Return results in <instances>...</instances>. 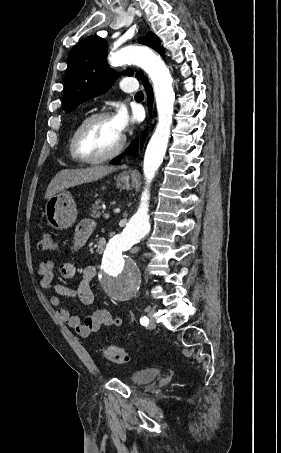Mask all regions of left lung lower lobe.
<instances>
[{
  "label": "left lung lower lobe",
  "mask_w": 281,
  "mask_h": 453,
  "mask_svg": "<svg viewBox=\"0 0 281 453\" xmlns=\"http://www.w3.org/2000/svg\"><path fill=\"white\" fill-rule=\"evenodd\" d=\"M163 53V50L161 51V54ZM142 83L143 85L145 86L146 90H147V95H148V103H149V109L151 110V106H152V88L151 86L149 85L148 83V80L146 77H144L142 79ZM138 142L137 140H135L131 145L130 147L127 148V150L120 156L116 157L115 159H113L110 164H119L120 163V159L122 158L123 155H125L126 153H130L132 156H137L138 154Z\"/></svg>",
  "instance_id": "obj_1"
}]
</instances>
